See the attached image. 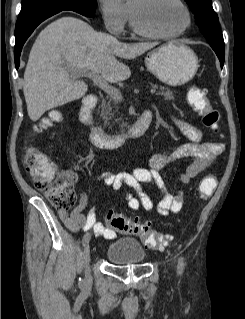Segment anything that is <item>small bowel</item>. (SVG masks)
<instances>
[{"mask_svg":"<svg viewBox=\"0 0 245 319\" xmlns=\"http://www.w3.org/2000/svg\"><path fill=\"white\" fill-rule=\"evenodd\" d=\"M146 112L151 115L150 111ZM173 120L180 132L189 140L188 143L180 145L170 154L153 153L148 160L147 168L139 167L131 172L103 173L99 176L104 184L115 191L122 192L124 200L132 211L142 209L151 212L156 209L163 216L177 213L183 205L184 192L182 190L171 191L160 172L175 160L191 158L192 162L180 175V183L188 185L194 177L211 166L224 150L221 143L203 141L202 131L190 122L177 117H174ZM76 181V175L72 174V183ZM143 184H150L163 194V198L156 206L143 189ZM124 187H129L131 191H123ZM88 201V195L82 192L77 207L71 213L59 210V218L72 231H90L97 237L115 239L117 231L97 220L95 205L83 213Z\"/></svg>","mask_w":245,"mask_h":319,"instance_id":"c3829d8e","label":"small bowel"}]
</instances>
